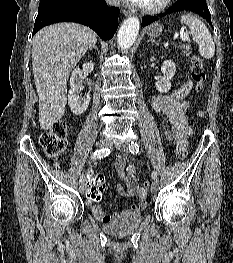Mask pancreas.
Instances as JSON below:
<instances>
[{"mask_svg":"<svg viewBox=\"0 0 233 263\" xmlns=\"http://www.w3.org/2000/svg\"><path fill=\"white\" fill-rule=\"evenodd\" d=\"M179 48L182 50V54H185L187 56L190 55V46L188 44H181Z\"/></svg>","mask_w":233,"mask_h":263,"instance_id":"obj_1","label":"pancreas"}]
</instances>
